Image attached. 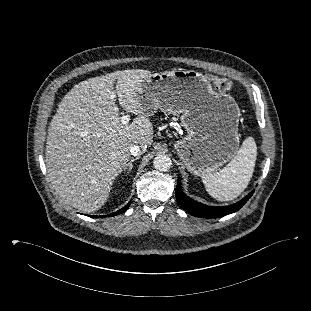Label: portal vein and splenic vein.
Instances as JSON below:
<instances>
[{"instance_id": "1", "label": "portal vein and splenic vein", "mask_w": 311, "mask_h": 311, "mask_svg": "<svg viewBox=\"0 0 311 311\" xmlns=\"http://www.w3.org/2000/svg\"><path fill=\"white\" fill-rule=\"evenodd\" d=\"M129 121H130V116H129L128 114L123 115V116L121 117V123H122L123 125H127V124L129 123Z\"/></svg>"}]
</instances>
